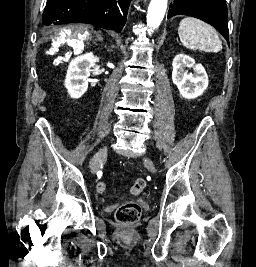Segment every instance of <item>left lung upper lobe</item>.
I'll use <instances>...</instances> for the list:
<instances>
[{
    "label": "left lung upper lobe",
    "mask_w": 256,
    "mask_h": 267,
    "mask_svg": "<svg viewBox=\"0 0 256 267\" xmlns=\"http://www.w3.org/2000/svg\"><path fill=\"white\" fill-rule=\"evenodd\" d=\"M170 7L168 18L175 15H188L201 19L214 26L229 45L225 0H174V5Z\"/></svg>",
    "instance_id": "obj_1"
}]
</instances>
